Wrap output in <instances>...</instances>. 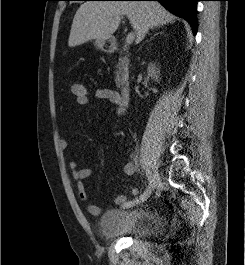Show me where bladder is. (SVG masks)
Returning <instances> with one entry per match:
<instances>
[{
  "mask_svg": "<svg viewBox=\"0 0 245 265\" xmlns=\"http://www.w3.org/2000/svg\"><path fill=\"white\" fill-rule=\"evenodd\" d=\"M98 230L104 236L146 239L160 234L163 225L154 212L150 210L112 208L100 215Z\"/></svg>",
  "mask_w": 245,
  "mask_h": 265,
  "instance_id": "obj_1",
  "label": "bladder"
}]
</instances>
